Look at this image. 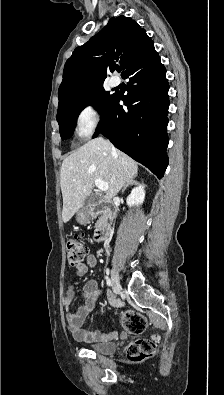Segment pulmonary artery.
Segmentation results:
<instances>
[{
    "mask_svg": "<svg viewBox=\"0 0 224 395\" xmlns=\"http://www.w3.org/2000/svg\"><path fill=\"white\" fill-rule=\"evenodd\" d=\"M119 84V82L117 80H112L111 81V86L112 87H116Z\"/></svg>",
    "mask_w": 224,
    "mask_h": 395,
    "instance_id": "obj_1",
    "label": "pulmonary artery"
}]
</instances>
